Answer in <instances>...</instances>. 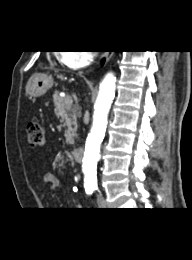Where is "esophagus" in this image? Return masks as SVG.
Segmentation results:
<instances>
[{"mask_svg": "<svg viewBox=\"0 0 192 260\" xmlns=\"http://www.w3.org/2000/svg\"><path fill=\"white\" fill-rule=\"evenodd\" d=\"M111 56H112V53H106V54H105L106 59L111 58Z\"/></svg>", "mask_w": 192, "mask_h": 260, "instance_id": "esophagus-1", "label": "esophagus"}]
</instances>
